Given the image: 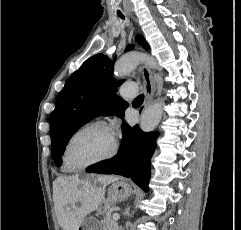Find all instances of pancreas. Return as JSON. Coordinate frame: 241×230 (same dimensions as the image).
Listing matches in <instances>:
<instances>
[{
    "instance_id": "cf45deb5",
    "label": "pancreas",
    "mask_w": 241,
    "mask_h": 230,
    "mask_svg": "<svg viewBox=\"0 0 241 230\" xmlns=\"http://www.w3.org/2000/svg\"><path fill=\"white\" fill-rule=\"evenodd\" d=\"M102 230H118L116 220L112 216H106L102 221Z\"/></svg>"
}]
</instances>
